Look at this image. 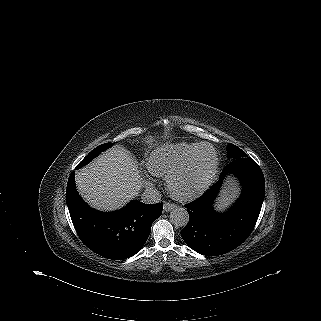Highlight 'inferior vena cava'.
Wrapping results in <instances>:
<instances>
[{
	"label": "inferior vena cava",
	"mask_w": 321,
	"mask_h": 321,
	"mask_svg": "<svg viewBox=\"0 0 321 321\" xmlns=\"http://www.w3.org/2000/svg\"><path fill=\"white\" fill-rule=\"evenodd\" d=\"M141 200L146 204L158 203L161 200V193L154 187H146L141 195Z\"/></svg>",
	"instance_id": "inferior-vena-cava-1"
}]
</instances>
